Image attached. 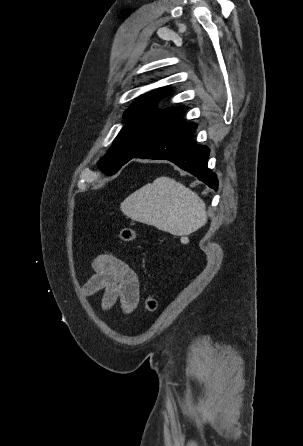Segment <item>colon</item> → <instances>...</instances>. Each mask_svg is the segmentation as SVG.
I'll list each match as a JSON object with an SVG mask.
<instances>
[{"label":"colon","instance_id":"colon-1","mask_svg":"<svg viewBox=\"0 0 303 446\" xmlns=\"http://www.w3.org/2000/svg\"><path fill=\"white\" fill-rule=\"evenodd\" d=\"M119 238L126 243L134 242L137 238L136 231L131 227H122L119 232ZM158 301L155 294L146 297L144 307L147 312H154L157 309Z\"/></svg>","mask_w":303,"mask_h":446}]
</instances>
